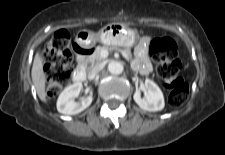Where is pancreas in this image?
<instances>
[{"instance_id": "cf45deb5", "label": "pancreas", "mask_w": 225, "mask_h": 155, "mask_svg": "<svg viewBox=\"0 0 225 155\" xmlns=\"http://www.w3.org/2000/svg\"><path fill=\"white\" fill-rule=\"evenodd\" d=\"M120 50L124 53L127 54L128 57H132V53H131V50L129 47H124V48H120L118 47L117 45H110V46H107V45H104V46H97L95 48V51L94 53L89 56L88 58L84 59L82 62L79 63V66H84L86 67L88 65V63L90 64H96V63H99L101 61L104 60V58L101 56V53L103 51H111V50Z\"/></svg>"}]
</instances>
